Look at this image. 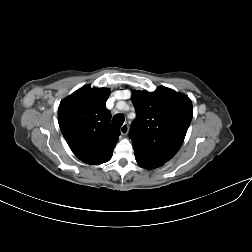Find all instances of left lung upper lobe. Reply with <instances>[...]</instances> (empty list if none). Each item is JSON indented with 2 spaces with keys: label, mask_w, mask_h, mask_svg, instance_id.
<instances>
[{
  "label": "left lung upper lobe",
  "mask_w": 252,
  "mask_h": 252,
  "mask_svg": "<svg viewBox=\"0 0 252 252\" xmlns=\"http://www.w3.org/2000/svg\"><path fill=\"white\" fill-rule=\"evenodd\" d=\"M132 102L136 118L129 137L134 151L169 161L181 147L192 120L191 100L161 86L154 92L133 91Z\"/></svg>",
  "instance_id": "left-lung-upper-lobe-1"
}]
</instances>
